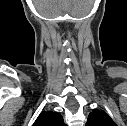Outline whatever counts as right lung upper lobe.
<instances>
[{
    "label": "right lung upper lobe",
    "instance_id": "1",
    "mask_svg": "<svg viewBox=\"0 0 127 126\" xmlns=\"http://www.w3.org/2000/svg\"><path fill=\"white\" fill-rule=\"evenodd\" d=\"M33 126H65L63 117L53 111H43L35 120Z\"/></svg>",
    "mask_w": 127,
    "mask_h": 126
}]
</instances>
